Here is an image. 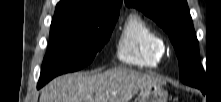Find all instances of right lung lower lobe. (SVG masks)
Returning a JSON list of instances; mask_svg holds the SVG:
<instances>
[{"label":"right lung lower lobe","instance_id":"obj_1","mask_svg":"<svg viewBox=\"0 0 221 102\" xmlns=\"http://www.w3.org/2000/svg\"><path fill=\"white\" fill-rule=\"evenodd\" d=\"M43 86V84L38 83L37 88H41Z\"/></svg>","mask_w":221,"mask_h":102}]
</instances>
